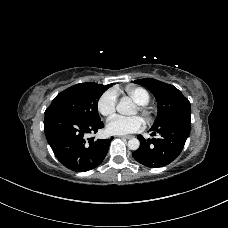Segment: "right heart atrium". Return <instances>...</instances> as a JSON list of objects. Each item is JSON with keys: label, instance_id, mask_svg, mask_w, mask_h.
I'll list each match as a JSON object with an SVG mask.
<instances>
[{"label": "right heart atrium", "instance_id": "d8ad5b80", "mask_svg": "<svg viewBox=\"0 0 228 228\" xmlns=\"http://www.w3.org/2000/svg\"><path fill=\"white\" fill-rule=\"evenodd\" d=\"M117 105V93L115 90H106L97 101V109L99 113L105 117L115 112Z\"/></svg>", "mask_w": 228, "mask_h": 228}]
</instances>
